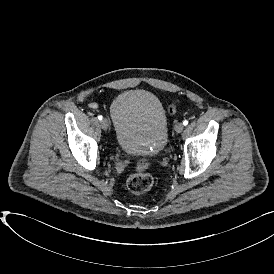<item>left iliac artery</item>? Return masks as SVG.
<instances>
[{
  "instance_id": "44dca946",
  "label": "left iliac artery",
  "mask_w": 274,
  "mask_h": 274,
  "mask_svg": "<svg viewBox=\"0 0 274 274\" xmlns=\"http://www.w3.org/2000/svg\"><path fill=\"white\" fill-rule=\"evenodd\" d=\"M187 124H188V121H187V120H184V121H183V125L186 126Z\"/></svg>"
}]
</instances>
